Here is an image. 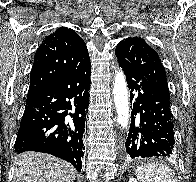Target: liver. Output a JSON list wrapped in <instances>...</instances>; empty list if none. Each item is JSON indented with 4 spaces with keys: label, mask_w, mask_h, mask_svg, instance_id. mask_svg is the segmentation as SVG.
<instances>
[{
    "label": "liver",
    "mask_w": 196,
    "mask_h": 182,
    "mask_svg": "<svg viewBox=\"0 0 196 182\" xmlns=\"http://www.w3.org/2000/svg\"><path fill=\"white\" fill-rule=\"evenodd\" d=\"M75 169L45 153L25 152L15 159L13 182H74Z\"/></svg>",
    "instance_id": "1"
}]
</instances>
